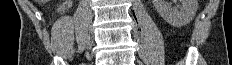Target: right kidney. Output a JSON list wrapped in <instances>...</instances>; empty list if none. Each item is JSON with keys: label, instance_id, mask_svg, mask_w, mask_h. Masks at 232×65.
<instances>
[{"label": "right kidney", "instance_id": "1", "mask_svg": "<svg viewBox=\"0 0 232 65\" xmlns=\"http://www.w3.org/2000/svg\"><path fill=\"white\" fill-rule=\"evenodd\" d=\"M72 5V1L71 0H66L63 4H61L58 9L57 12L58 13H62L65 12L66 10H68Z\"/></svg>", "mask_w": 232, "mask_h": 65}]
</instances>
